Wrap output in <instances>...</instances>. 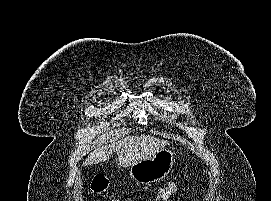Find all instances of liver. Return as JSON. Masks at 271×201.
<instances>
[{
    "mask_svg": "<svg viewBox=\"0 0 271 201\" xmlns=\"http://www.w3.org/2000/svg\"><path fill=\"white\" fill-rule=\"evenodd\" d=\"M169 144L167 140L147 135L127 136L116 143L97 147L83 162L84 166L98 164L110 159L113 152H117L118 161L122 167L148 159Z\"/></svg>",
    "mask_w": 271,
    "mask_h": 201,
    "instance_id": "6515ba94",
    "label": "liver"
}]
</instances>
